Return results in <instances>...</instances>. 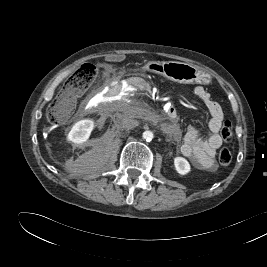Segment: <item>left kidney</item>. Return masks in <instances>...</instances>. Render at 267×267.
I'll return each mask as SVG.
<instances>
[{"mask_svg":"<svg viewBox=\"0 0 267 267\" xmlns=\"http://www.w3.org/2000/svg\"><path fill=\"white\" fill-rule=\"evenodd\" d=\"M174 166L177 173H179L180 175L188 174L191 169L189 162L183 157H175Z\"/></svg>","mask_w":267,"mask_h":267,"instance_id":"1","label":"left kidney"}]
</instances>
